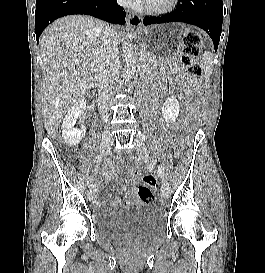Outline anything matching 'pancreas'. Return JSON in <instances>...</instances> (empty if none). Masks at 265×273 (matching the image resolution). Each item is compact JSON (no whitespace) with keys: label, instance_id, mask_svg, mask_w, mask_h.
<instances>
[{"label":"pancreas","instance_id":"1","mask_svg":"<svg viewBox=\"0 0 265 273\" xmlns=\"http://www.w3.org/2000/svg\"><path fill=\"white\" fill-rule=\"evenodd\" d=\"M142 53L145 54V56H143V63L150 67L152 65H155V64H159V65H166L167 63H169V61L167 59H155L154 57H152L147 51L145 50H141Z\"/></svg>","mask_w":265,"mask_h":273}]
</instances>
